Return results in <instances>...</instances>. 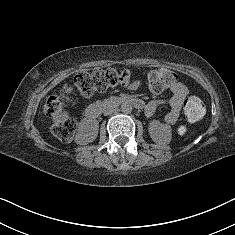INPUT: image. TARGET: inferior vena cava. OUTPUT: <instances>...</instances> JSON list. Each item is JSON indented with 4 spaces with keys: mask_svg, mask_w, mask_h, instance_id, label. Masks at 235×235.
Listing matches in <instances>:
<instances>
[{
    "mask_svg": "<svg viewBox=\"0 0 235 235\" xmlns=\"http://www.w3.org/2000/svg\"><path fill=\"white\" fill-rule=\"evenodd\" d=\"M113 113V110H108L105 112L106 115H109V114H112Z\"/></svg>",
    "mask_w": 235,
    "mask_h": 235,
    "instance_id": "602c4592",
    "label": "inferior vena cava"
}]
</instances>
